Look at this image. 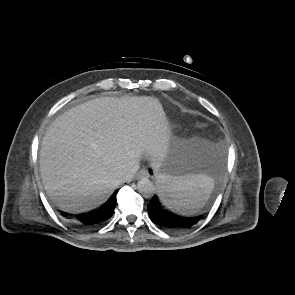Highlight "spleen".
<instances>
[{"label":"spleen","instance_id":"3e777b00","mask_svg":"<svg viewBox=\"0 0 295 295\" xmlns=\"http://www.w3.org/2000/svg\"><path fill=\"white\" fill-rule=\"evenodd\" d=\"M157 182L163 204L185 216L201 209L214 187L213 179L206 174L183 177L157 175Z\"/></svg>","mask_w":295,"mask_h":295}]
</instances>
